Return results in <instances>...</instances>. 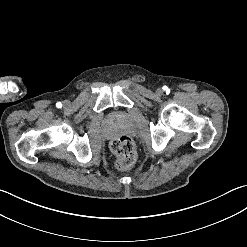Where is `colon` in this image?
<instances>
[{
	"mask_svg": "<svg viewBox=\"0 0 247 247\" xmlns=\"http://www.w3.org/2000/svg\"><path fill=\"white\" fill-rule=\"evenodd\" d=\"M112 149L117 154L116 167L120 171L128 170L136 161V150L132 141L121 136L112 142Z\"/></svg>",
	"mask_w": 247,
	"mask_h": 247,
	"instance_id": "1",
	"label": "colon"
}]
</instances>
